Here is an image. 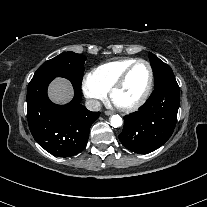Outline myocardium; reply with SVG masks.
Segmentation results:
<instances>
[{
    "instance_id": "obj_1",
    "label": "myocardium",
    "mask_w": 207,
    "mask_h": 207,
    "mask_svg": "<svg viewBox=\"0 0 207 207\" xmlns=\"http://www.w3.org/2000/svg\"><path fill=\"white\" fill-rule=\"evenodd\" d=\"M145 64L148 68V73H149V81L147 84V87L143 93V95L134 103L130 104V105H126V106H121L118 105L114 102V95L115 93L124 85L129 73L131 72V70L138 64ZM154 84V74H153V69L151 64L144 60V59H136L134 60L122 73L121 75L117 78V80L114 82V84L112 85L111 89L109 90V96L110 99L112 100V102L115 104V106L122 112H132L137 110L138 108H140L148 99L152 87Z\"/></svg>"
}]
</instances>
